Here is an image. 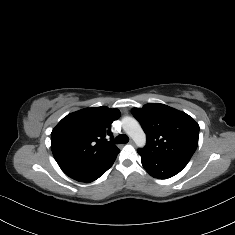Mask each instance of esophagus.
<instances>
[{
	"label": "esophagus",
	"mask_w": 235,
	"mask_h": 235,
	"mask_svg": "<svg viewBox=\"0 0 235 235\" xmlns=\"http://www.w3.org/2000/svg\"><path fill=\"white\" fill-rule=\"evenodd\" d=\"M129 144H131V145H134V144H135L134 141H133V139H130Z\"/></svg>",
	"instance_id": "obj_1"
}]
</instances>
